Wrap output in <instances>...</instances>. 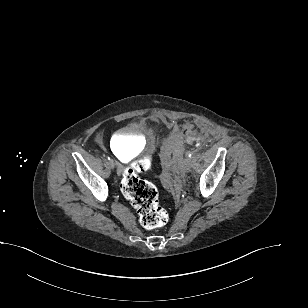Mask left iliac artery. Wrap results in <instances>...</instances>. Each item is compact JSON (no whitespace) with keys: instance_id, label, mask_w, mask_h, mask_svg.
Here are the masks:
<instances>
[{"instance_id":"obj_1","label":"left iliac artery","mask_w":308,"mask_h":308,"mask_svg":"<svg viewBox=\"0 0 308 308\" xmlns=\"http://www.w3.org/2000/svg\"><path fill=\"white\" fill-rule=\"evenodd\" d=\"M187 155H188V157H192L193 152H188Z\"/></svg>"}]
</instances>
